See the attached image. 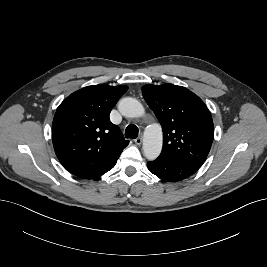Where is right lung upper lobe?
Masks as SVG:
<instances>
[{
  "label": "right lung upper lobe",
  "mask_w": 267,
  "mask_h": 267,
  "mask_svg": "<svg viewBox=\"0 0 267 267\" xmlns=\"http://www.w3.org/2000/svg\"><path fill=\"white\" fill-rule=\"evenodd\" d=\"M127 89L104 84L88 86L59 105L52 124V141L59 161L70 173L93 179L115 166L129 141L111 123L109 115Z\"/></svg>",
  "instance_id": "right-lung-upper-lobe-1"
}]
</instances>
